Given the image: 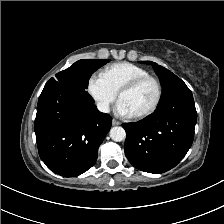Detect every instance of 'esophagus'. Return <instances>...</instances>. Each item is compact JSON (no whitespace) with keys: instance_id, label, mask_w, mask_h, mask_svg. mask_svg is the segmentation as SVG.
Wrapping results in <instances>:
<instances>
[{"instance_id":"obj_1","label":"esophagus","mask_w":224,"mask_h":224,"mask_svg":"<svg viewBox=\"0 0 224 224\" xmlns=\"http://www.w3.org/2000/svg\"><path fill=\"white\" fill-rule=\"evenodd\" d=\"M121 123L115 119L112 120V125L113 126H117V125H120Z\"/></svg>"}]
</instances>
